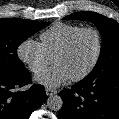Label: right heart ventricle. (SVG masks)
<instances>
[{
	"label": "right heart ventricle",
	"mask_w": 119,
	"mask_h": 119,
	"mask_svg": "<svg viewBox=\"0 0 119 119\" xmlns=\"http://www.w3.org/2000/svg\"><path fill=\"white\" fill-rule=\"evenodd\" d=\"M82 27L76 24L58 22L52 25L40 36L41 44L47 54L53 59L68 39Z\"/></svg>",
	"instance_id": "right-heart-ventricle-1"
}]
</instances>
